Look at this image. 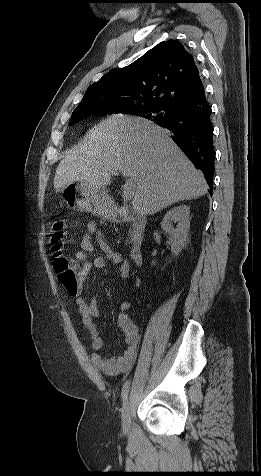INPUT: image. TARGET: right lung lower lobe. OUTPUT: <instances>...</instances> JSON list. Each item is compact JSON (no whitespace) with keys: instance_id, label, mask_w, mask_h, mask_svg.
<instances>
[{"instance_id":"right-lung-lower-lobe-1","label":"right lung lower lobe","mask_w":261,"mask_h":476,"mask_svg":"<svg viewBox=\"0 0 261 476\" xmlns=\"http://www.w3.org/2000/svg\"><path fill=\"white\" fill-rule=\"evenodd\" d=\"M155 122L173 132L176 144L212 184L215 161L213 126L211 106L204 89L193 101L175 108L167 118Z\"/></svg>"}]
</instances>
